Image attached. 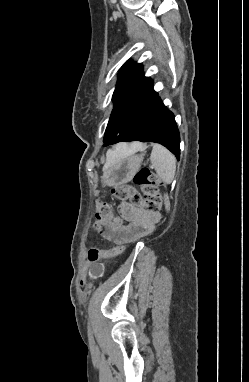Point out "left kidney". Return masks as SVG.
<instances>
[{"label":"left kidney","instance_id":"obj_1","mask_svg":"<svg viewBox=\"0 0 249 382\" xmlns=\"http://www.w3.org/2000/svg\"><path fill=\"white\" fill-rule=\"evenodd\" d=\"M89 276L90 277H96V278H94V283H99V278H97V277H103L104 276V271L103 270H90L89 271Z\"/></svg>","mask_w":249,"mask_h":382}]
</instances>
